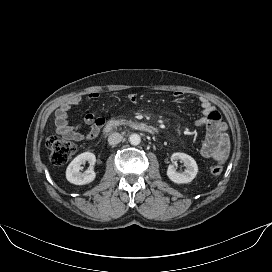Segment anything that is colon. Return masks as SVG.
<instances>
[{"label":"colon","instance_id":"obj_1","mask_svg":"<svg viewBox=\"0 0 272 272\" xmlns=\"http://www.w3.org/2000/svg\"><path fill=\"white\" fill-rule=\"evenodd\" d=\"M46 144L51 152L50 159L55 165L67 163L75 153V146L57 135L50 136ZM222 171L223 167L221 165H213L210 168V172L213 176H219Z\"/></svg>","mask_w":272,"mask_h":272}]
</instances>
